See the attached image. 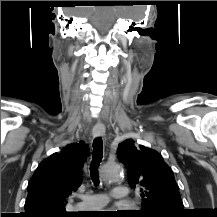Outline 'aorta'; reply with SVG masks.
Masks as SVG:
<instances>
[{
  "mask_svg": "<svg viewBox=\"0 0 217 217\" xmlns=\"http://www.w3.org/2000/svg\"><path fill=\"white\" fill-rule=\"evenodd\" d=\"M101 173L104 181H117L121 178V167L118 164H105L102 167Z\"/></svg>",
  "mask_w": 217,
  "mask_h": 217,
  "instance_id": "aorta-1",
  "label": "aorta"
}]
</instances>
